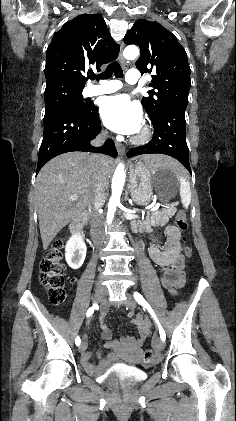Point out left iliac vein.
<instances>
[{
    "mask_svg": "<svg viewBox=\"0 0 236 421\" xmlns=\"http://www.w3.org/2000/svg\"><path fill=\"white\" fill-rule=\"evenodd\" d=\"M126 296H127V299L125 300V305H127L130 309L134 310L135 307H136V302H135L134 298L129 293H126ZM152 345L157 351L164 349V342L157 335L154 336L153 341H152Z\"/></svg>",
    "mask_w": 236,
    "mask_h": 421,
    "instance_id": "left-iliac-vein-1",
    "label": "left iliac vein"
}]
</instances>
